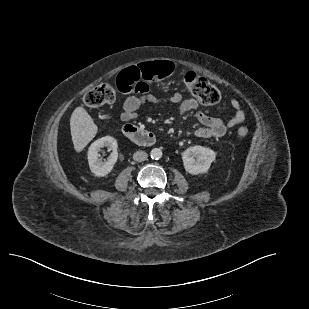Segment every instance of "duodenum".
Wrapping results in <instances>:
<instances>
[{"label": "duodenum", "instance_id": "obj_1", "mask_svg": "<svg viewBox=\"0 0 309 309\" xmlns=\"http://www.w3.org/2000/svg\"><path fill=\"white\" fill-rule=\"evenodd\" d=\"M122 132L126 138L141 146H151L156 142L153 132L134 125H125Z\"/></svg>", "mask_w": 309, "mask_h": 309}]
</instances>
